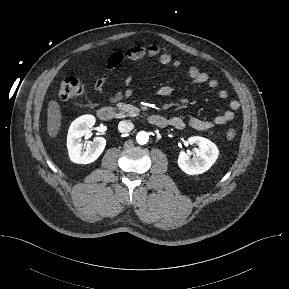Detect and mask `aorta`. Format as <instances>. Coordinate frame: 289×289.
Wrapping results in <instances>:
<instances>
[{
	"label": "aorta",
	"mask_w": 289,
	"mask_h": 289,
	"mask_svg": "<svg viewBox=\"0 0 289 289\" xmlns=\"http://www.w3.org/2000/svg\"><path fill=\"white\" fill-rule=\"evenodd\" d=\"M136 140H137L138 144L144 145L148 142L149 135L147 132L140 131L136 136Z\"/></svg>",
	"instance_id": "1"
}]
</instances>
